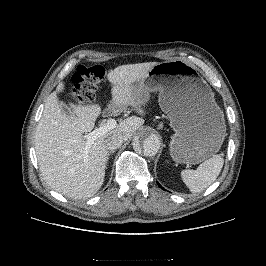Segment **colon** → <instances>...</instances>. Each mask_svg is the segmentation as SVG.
<instances>
[{
    "label": "colon",
    "mask_w": 266,
    "mask_h": 266,
    "mask_svg": "<svg viewBox=\"0 0 266 266\" xmlns=\"http://www.w3.org/2000/svg\"><path fill=\"white\" fill-rule=\"evenodd\" d=\"M104 74L105 70L101 65H79L68 90L70 99L78 104L92 102Z\"/></svg>",
    "instance_id": "1"
}]
</instances>
